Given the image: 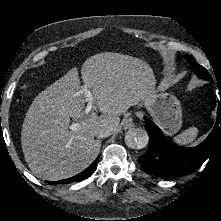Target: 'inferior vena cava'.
I'll list each match as a JSON object with an SVG mask.
<instances>
[{"label": "inferior vena cava", "instance_id": "602c4592", "mask_svg": "<svg viewBox=\"0 0 221 221\" xmlns=\"http://www.w3.org/2000/svg\"><path fill=\"white\" fill-rule=\"evenodd\" d=\"M113 133V129L111 127H103L97 130L96 137L97 138H104L108 137Z\"/></svg>", "mask_w": 221, "mask_h": 221}]
</instances>
